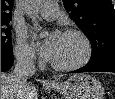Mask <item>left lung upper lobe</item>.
Segmentation results:
<instances>
[{"label": "left lung upper lobe", "instance_id": "left-lung-upper-lobe-1", "mask_svg": "<svg viewBox=\"0 0 115 99\" xmlns=\"http://www.w3.org/2000/svg\"><path fill=\"white\" fill-rule=\"evenodd\" d=\"M63 4L91 42L89 63L115 57V10L111 0H63Z\"/></svg>", "mask_w": 115, "mask_h": 99}]
</instances>
